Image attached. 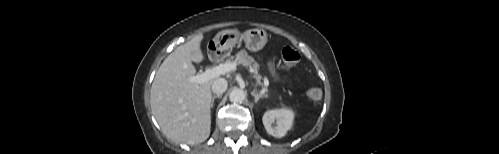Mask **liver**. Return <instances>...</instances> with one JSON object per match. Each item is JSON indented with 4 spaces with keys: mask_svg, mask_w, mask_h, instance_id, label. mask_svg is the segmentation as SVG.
<instances>
[{
    "mask_svg": "<svg viewBox=\"0 0 499 154\" xmlns=\"http://www.w3.org/2000/svg\"><path fill=\"white\" fill-rule=\"evenodd\" d=\"M203 35L178 46L161 64L150 92L152 113L163 133L177 143L196 144L210 135L211 86L215 79L198 84L192 62H202Z\"/></svg>",
    "mask_w": 499,
    "mask_h": 154,
    "instance_id": "liver-1",
    "label": "liver"
}]
</instances>
